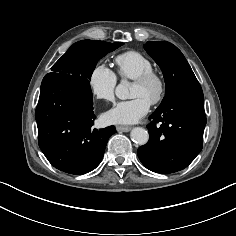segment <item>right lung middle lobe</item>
I'll use <instances>...</instances> for the list:
<instances>
[{"label":"right lung middle lobe","instance_id":"obj_1","mask_svg":"<svg viewBox=\"0 0 236 236\" xmlns=\"http://www.w3.org/2000/svg\"><path fill=\"white\" fill-rule=\"evenodd\" d=\"M123 43H107L105 41L83 40L73 44L67 52L53 65L50 76L67 78L89 90L91 75L97 62Z\"/></svg>","mask_w":236,"mask_h":236}]
</instances>
